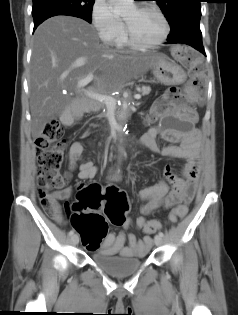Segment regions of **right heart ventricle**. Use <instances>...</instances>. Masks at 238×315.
Masks as SVG:
<instances>
[{
  "label": "right heart ventricle",
  "instance_id": "obj_1",
  "mask_svg": "<svg viewBox=\"0 0 238 315\" xmlns=\"http://www.w3.org/2000/svg\"><path fill=\"white\" fill-rule=\"evenodd\" d=\"M112 44L115 45L119 49H123L129 46L125 37L124 28L120 31L117 37L112 41Z\"/></svg>",
  "mask_w": 238,
  "mask_h": 315
}]
</instances>
